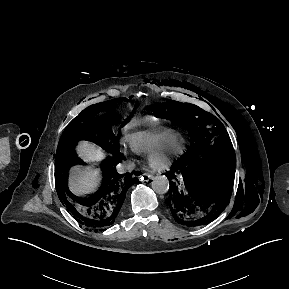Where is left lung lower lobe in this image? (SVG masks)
Instances as JSON below:
<instances>
[{"instance_id": "obj_1", "label": "left lung lower lobe", "mask_w": 289, "mask_h": 289, "mask_svg": "<svg viewBox=\"0 0 289 289\" xmlns=\"http://www.w3.org/2000/svg\"><path fill=\"white\" fill-rule=\"evenodd\" d=\"M235 169L218 168L211 151L191 146L167 173L168 207L175 220L189 227L215 220L229 203Z\"/></svg>"}]
</instances>
